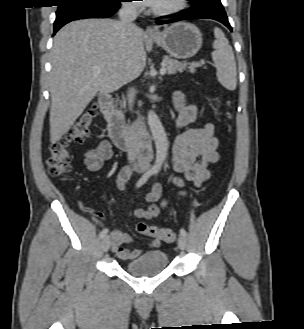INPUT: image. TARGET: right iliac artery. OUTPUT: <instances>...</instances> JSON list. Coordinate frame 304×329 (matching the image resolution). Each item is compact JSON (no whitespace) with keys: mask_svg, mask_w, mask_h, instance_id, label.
<instances>
[{"mask_svg":"<svg viewBox=\"0 0 304 329\" xmlns=\"http://www.w3.org/2000/svg\"><path fill=\"white\" fill-rule=\"evenodd\" d=\"M151 176L150 172L145 173L136 183V187L139 188L141 187L143 184H145L148 180V178ZM108 229H104L101 233L100 236L101 238H104L107 235Z\"/></svg>","mask_w":304,"mask_h":329,"instance_id":"obj_1","label":"right iliac artery"}]
</instances>
